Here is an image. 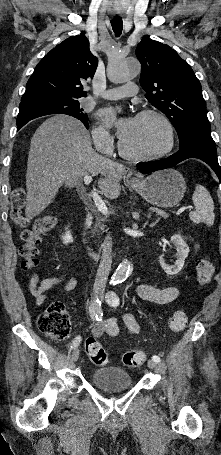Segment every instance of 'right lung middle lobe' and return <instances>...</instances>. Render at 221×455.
I'll return each mask as SVG.
<instances>
[{
	"mask_svg": "<svg viewBox=\"0 0 221 455\" xmlns=\"http://www.w3.org/2000/svg\"><path fill=\"white\" fill-rule=\"evenodd\" d=\"M17 126L34 118L49 114H66L79 119L88 128V116L80 108L78 99H64L53 102L19 107Z\"/></svg>",
	"mask_w": 221,
	"mask_h": 455,
	"instance_id": "1",
	"label": "right lung middle lobe"
}]
</instances>
